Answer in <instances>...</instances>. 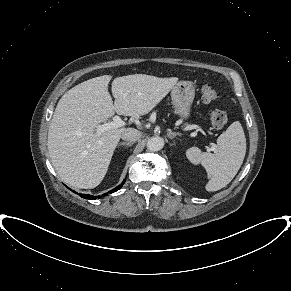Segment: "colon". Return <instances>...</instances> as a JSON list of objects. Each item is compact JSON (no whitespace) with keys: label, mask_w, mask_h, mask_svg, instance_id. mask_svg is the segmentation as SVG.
<instances>
[{"label":"colon","mask_w":291,"mask_h":291,"mask_svg":"<svg viewBox=\"0 0 291 291\" xmlns=\"http://www.w3.org/2000/svg\"><path fill=\"white\" fill-rule=\"evenodd\" d=\"M201 97L205 103L217 102L220 98L219 92L210 84H205L201 88ZM210 121L216 128H222L228 121V115L225 111L215 109L210 114Z\"/></svg>","instance_id":"5ec220e1"}]
</instances>
